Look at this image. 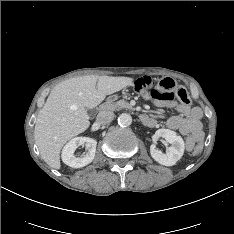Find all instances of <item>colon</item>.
I'll list each match as a JSON object with an SVG mask.
<instances>
[{"label":"colon","instance_id":"5ec220e1","mask_svg":"<svg viewBox=\"0 0 234 234\" xmlns=\"http://www.w3.org/2000/svg\"><path fill=\"white\" fill-rule=\"evenodd\" d=\"M136 91L143 93L148 92L150 95L157 99H174L177 98L183 105L190 104V97L186 89L178 85L171 78H164L158 82V84L153 88L154 82L148 77H140L135 81ZM195 153H199L202 150L200 144H192L190 146Z\"/></svg>","mask_w":234,"mask_h":234}]
</instances>
